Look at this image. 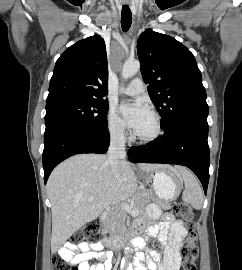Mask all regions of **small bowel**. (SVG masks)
<instances>
[{
  "label": "small bowel",
  "instance_id": "obj_1",
  "mask_svg": "<svg viewBox=\"0 0 242 270\" xmlns=\"http://www.w3.org/2000/svg\"><path fill=\"white\" fill-rule=\"evenodd\" d=\"M160 219L154 223V220ZM146 220L150 221L147 235L157 237L164 244L163 270H178L180 265V248L182 239L186 234V227L183 222L178 221L171 213H161L156 205L148 207L147 219L141 218L135 222V233L144 230ZM145 239L135 240V247L143 248ZM101 241L93 243H82L74 245L67 243L60 251V255L69 263L75 265L77 270H110L112 267V253L103 251ZM97 260V263H90V260ZM162 256L156 250H150L149 255L139 252L136 257V270H156L161 262ZM131 270V269H129Z\"/></svg>",
  "mask_w": 242,
  "mask_h": 270
}]
</instances>
